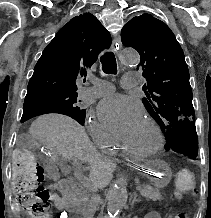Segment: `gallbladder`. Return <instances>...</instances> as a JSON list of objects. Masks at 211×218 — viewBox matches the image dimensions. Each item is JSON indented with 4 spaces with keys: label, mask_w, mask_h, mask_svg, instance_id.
Wrapping results in <instances>:
<instances>
[{
    "label": "gallbladder",
    "mask_w": 211,
    "mask_h": 218,
    "mask_svg": "<svg viewBox=\"0 0 211 218\" xmlns=\"http://www.w3.org/2000/svg\"><path fill=\"white\" fill-rule=\"evenodd\" d=\"M55 164H57V166H60L61 174H64V176H68V174H71L72 170L74 175H77L78 171L83 170L82 166H73L72 168L71 166H67L65 158H62V156H58V158H56Z\"/></svg>",
    "instance_id": "1"
}]
</instances>
